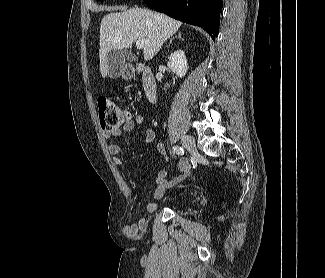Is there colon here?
<instances>
[{"label":"colon","mask_w":325,"mask_h":278,"mask_svg":"<svg viewBox=\"0 0 325 278\" xmlns=\"http://www.w3.org/2000/svg\"><path fill=\"white\" fill-rule=\"evenodd\" d=\"M100 126L103 130H114L129 120V112L108 98L97 101Z\"/></svg>","instance_id":"1"}]
</instances>
